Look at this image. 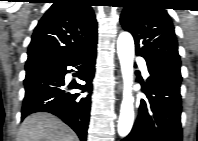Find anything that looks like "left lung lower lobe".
<instances>
[{
  "mask_svg": "<svg viewBox=\"0 0 198 141\" xmlns=\"http://www.w3.org/2000/svg\"><path fill=\"white\" fill-rule=\"evenodd\" d=\"M147 67L148 100L140 101L139 118L123 141H182L180 69L148 62Z\"/></svg>",
  "mask_w": 198,
  "mask_h": 141,
  "instance_id": "1",
  "label": "left lung lower lobe"
}]
</instances>
